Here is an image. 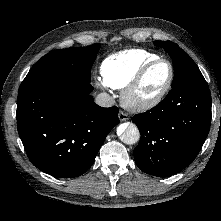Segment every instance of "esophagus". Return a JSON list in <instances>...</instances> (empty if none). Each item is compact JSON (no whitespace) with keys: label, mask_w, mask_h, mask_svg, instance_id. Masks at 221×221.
<instances>
[{"label":"esophagus","mask_w":221,"mask_h":221,"mask_svg":"<svg viewBox=\"0 0 221 221\" xmlns=\"http://www.w3.org/2000/svg\"><path fill=\"white\" fill-rule=\"evenodd\" d=\"M118 117H119V120H120V121H126V120L129 119L128 114H126V113L123 112V111H120V112L118 113Z\"/></svg>","instance_id":"1"}]
</instances>
